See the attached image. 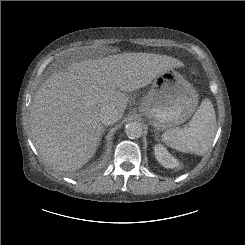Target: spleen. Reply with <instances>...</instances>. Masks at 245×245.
<instances>
[{
  "instance_id": "spleen-1",
  "label": "spleen",
  "mask_w": 245,
  "mask_h": 245,
  "mask_svg": "<svg viewBox=\"0 0 245 245\" xmlns=\"http://www.w3.org/2000/svg\"><path fill=\"white\" fill-rule=\"evenodd\" d=\"M216 128V115L212 102L204 99L188 126L165 131L162 141L176 150L202 155L211 147Z\"/></svg>"
}]
</instances>
